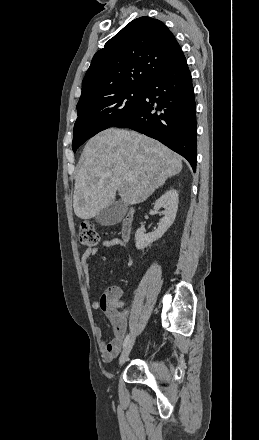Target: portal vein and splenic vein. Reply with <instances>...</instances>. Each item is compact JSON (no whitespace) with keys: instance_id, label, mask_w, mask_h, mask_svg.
I'll use <instances>...</instances> for the list:
<instances>
[{"instance_id":"18ae733b","label":"portal vein and splenic vein","mask_w":259,"mask_h":440,"mask_svg":"<svg viewBox=\"0 0 259 440\" xmlns=\"http://www.w3.org/2000/svg\"><path fill=\"white\" fill-rule=\"evenodd\" d=\"M124 178L127 180H134V178L131 175H125Z\"/></svg>"}]
</instances>
